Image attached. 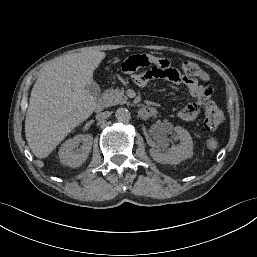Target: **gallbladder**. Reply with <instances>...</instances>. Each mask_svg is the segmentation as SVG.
Returning <instances> with one entry per match:
<instances>
[{
	"label": "gallbladder",
	"mask_w": 257,
	"mask_h": 257,
	"mask_svg": "<svg viewBox=\"0 0 257 257\" xmlns=\"http://www.w3.org/2000/svg\"><path fill=\"white\" fill-rule=\"evenodd\" d=\"M86 89L94 97H98L100 94V87L95 81L87 84Z\"/></svg>",
	"instance_id": "1"
}]
</instances>
